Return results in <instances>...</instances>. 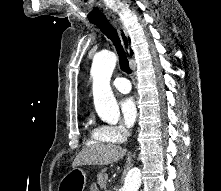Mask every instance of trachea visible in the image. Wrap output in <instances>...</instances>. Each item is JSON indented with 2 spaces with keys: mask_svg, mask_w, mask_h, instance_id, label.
<instances>
[{
  "mask_svg": "<svg viewBox=\"0 0 221 191\" xmlns=\"http://www.w3.org/2000/svg\"><path fill=\"white\" fill-rule=\"evenodd\" d=\"M91 23L99 27L100 30L107 36V38H109L113 42L116 48V51L118 53V56H119V64H120L121 70L127 74H130L131 69L129 67V62H128L126 53L123 49V46L121 45L120 38L118 36L116 29L113 27V25L109 23V21H107L106 18L93 20L91 21Z\"/></svg>",
  "mask_w": 221,
  "mask_h": 191,
  "instance_id": "trachea-1",
  "label": "trachea"
}]
</instances>
